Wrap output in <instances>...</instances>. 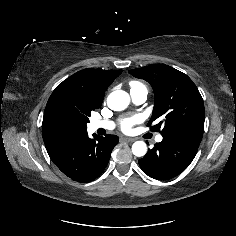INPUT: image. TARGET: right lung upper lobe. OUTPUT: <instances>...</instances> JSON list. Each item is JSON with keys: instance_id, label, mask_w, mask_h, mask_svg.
Returning <instances> with one entry per match:
<instances>
[{"instance_id": "1", "label": "right lung upper lobe", "mask_w": 236, "mask_h": 236, "mask_svg": "<svg viewBox=\"0 0 236 236\" xmlns=\"http://www.w3.org/2000/svg\"><path fill=\"white\" fill-rule=\"evenodd\" d=\"M121 73L122 70L84 69L71 75L53 91L47 102L42 123L43 140L50 157L87 135V129L64 126L54 118L55 100L64 98L80 109L99 108L105 91Z\"/></svg>"}]
</instances>
